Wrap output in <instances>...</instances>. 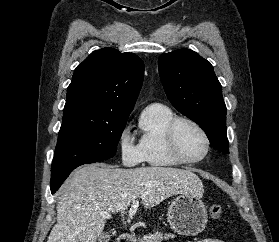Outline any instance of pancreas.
<instances>
[{
  "label": "pancreas",
  "instance_id": "cf45deb5",
  "mask_svg": "<svg viewBox=\"0 0 279 242\" xmlns=\"http://www.w3.org/2000/svg\"><path fill=\"white\" fill-rule=\"evenodd\" d=\"M176 235L172 233L163 234L162 232H154L153 234H147L138 239V242H162L163 240L173 239Z\"/></svg>",
  "mask_w": 279,
  "mask_h": 242
}]
</instances>
